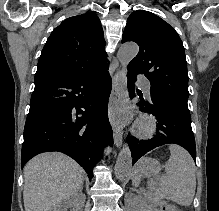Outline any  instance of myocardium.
I'll return each mask as SVG.
<instances>
[{
    "instance_id": "1",
    "label": "myocardium",
    "mask_w": 219,
    "mask_h": 211,
    "mask_svg": "<svg viewBox=\"0 0 219 211\" xmlns=\"http://www.w3.org/2000/svg\"><path fill=\"white\" fill-rule=\"evenodd\" d=\"M157 126V119L153 115H145L138 122V129L143 134H150Z\"/></svg>"
}]
</instances>
